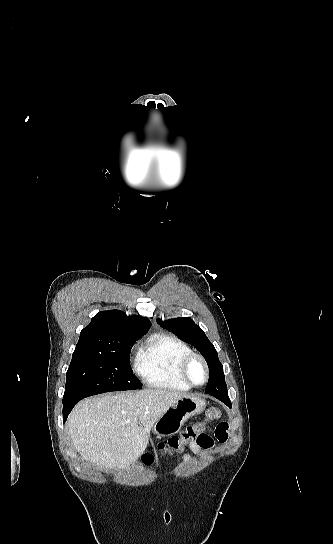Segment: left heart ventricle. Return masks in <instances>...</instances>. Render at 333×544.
I'll use <instances>...</instances> for the list:
<instances>
[{"label":"left heart ventricle","instance_id":"b2bd125f","mask_svg":"<svg viewBox=\"0 0 333 544\" xmlns=\"http://www.w3.org/2000/svg\"><path fill=\"white\" fill-rule=\"evenodd\" d=\"M205 369L199 361H194L189 368V377L196 384H201L205 380Z\"/></svg>","mask_w":333,"mask_h":544}]
</instances>
